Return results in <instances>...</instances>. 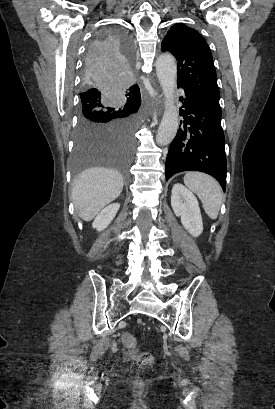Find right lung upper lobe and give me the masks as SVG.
<instances>
[{
	"label": "right lung upper lobe",
	"mask_w": 275,
	"mask_h": 409,
	"mask_svg": "<svg viewBox=\"0 0 275 409\" xmlns=\"http://www.w3.org/2000/svg\"><path fill=\"white\" fill-rule=\"evenodd\" d=\"M126 96H128L127 98L128 101H141L140 90L138 85L135 84L128 88V93L126 94Z\"/></svg>",
	"instance_id": "1"
}]
</instances>
